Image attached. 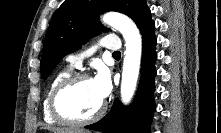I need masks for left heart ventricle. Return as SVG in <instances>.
<instances>
[{
  "label": "left heart ventricle",
  "instance_id": "b2bd125f",
  "mask_svg": "<svg viewBox=\"0 0 221 133\" xmlns=\"http://www.w3.org/2000/svg\"><path fill=\"white\" fill-rule=\"evenodd\" d=\"M103 100L97 95L92 80H83L65 91L59 107L67 116L82 119L95 113Z\"/></svg>",
  "mask_w": 221,
  "mask_h": 133
}]
</instances>
